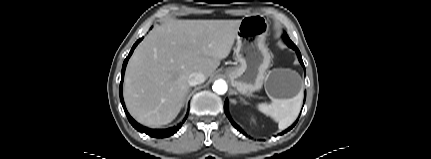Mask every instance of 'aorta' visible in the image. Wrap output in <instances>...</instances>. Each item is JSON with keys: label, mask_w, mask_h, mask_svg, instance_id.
I'll return each mask as SVG.
<instances>
[{"label": "aorta", "mask_w": 431, "mask_h": 159, "mask_svg": "<svg viewBox=\"0 0 431 159\" xmlns=\"http://www.w3.org/2000/svg\"><path fill=\"white\" fill-rule=\"evenodd\" d=\"M212 89L217 94L223 95L227 92L228 86L224 80L219 79L214 82Z\"/></svg>", "instance_id": "aorta-1"}]
</instances>
